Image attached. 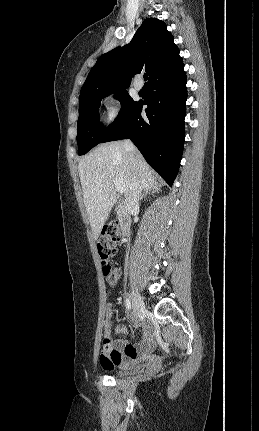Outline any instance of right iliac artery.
Masks as SVG:
<instances>
[{
  "label": "right iliac artery",
  "mask_w": 259,
  "mask_h": 431,
  "mask_svg": "<svg viewBox=\"0 0 259 431\" xmlns=\"http://www.w3.org/2000/svg\"><path fill=\"white\" fill-rule=\"evenodd\" d=\"M125 304H126V308L128 310H131V302H130V300L128 298L126 299Z\"/></svg>",
  "instance_id": "82829eb1"
}]
</instances>
